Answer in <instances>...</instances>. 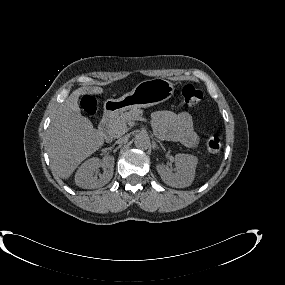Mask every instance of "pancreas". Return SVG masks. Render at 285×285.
I'll use <instances>...</instances> for the list:
<instances>
[{
	"instance_id": "obj_1",
	"label": "pancreas",
	"mask_w": 285,
	"mask_h": 285,
	"mask_svg": "<svg viewBox=\"0 0 285 285\" xmlns=\"http://www.w3.org/2000/svg\"><path fill=\"white\" fill-rule=\"evenodd\" d=\"M142 114L143 110L135 108L117 115L109 127L110 135L114 138L122 136L128 130L127 123L130 120L138 119Z\"/></svg>"
}]
</instances>
